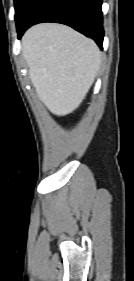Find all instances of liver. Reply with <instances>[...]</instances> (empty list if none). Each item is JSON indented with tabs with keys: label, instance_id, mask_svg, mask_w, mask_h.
Masks as SVG:
<instances>
[{
	"label": "liver",
	"instance_id": "obj_1",
	"mask_svg": "<svg viewBox=\"0 0 134 281\" xmlns=\"http://www.w3.org/2000/svg\"><path fill=\"white\" fill-rule=\"evenodd\" d=\"M22 48L42 103L54 115L72 113L99 70L101 52L96 43L65 25L42 23L26 31Z\"/></svg>",
	"mask_w": 134,
	"mask_h": 281
}]
</instances>
